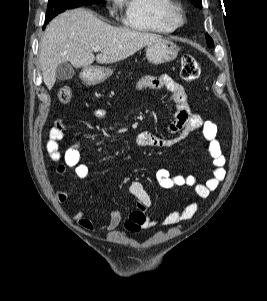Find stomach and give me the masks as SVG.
<instances>
[{
  "instance_id": "obj_1",
  "label": "stomach",
  "mask_w": 267,
  "mask_h": 301,
  "mask_svg": "<svg viewBox=\"0 0 267 301\" xmlns=\"http://www.w3.org/2000/svg\"><path fill=\"white\" fill-rule=\"evenodd\" d=\"M178 46L170 40L160 39L147 45L146 58L150 63L162 64L176 59ZM85 80L90 84H98L108 79L113 71L106 67H90L85 69Z\"/></svg>"
}]
</instances>
